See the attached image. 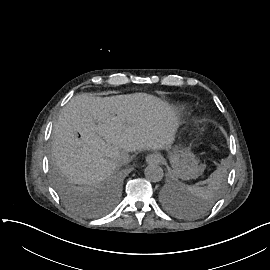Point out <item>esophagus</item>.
<instances>
[{
  "label": "esophagus",
  "instance_id": "34e87169",
  "mask_svg": "<svg viewBox=\"0 0 270 270\" xmlns=\"http://www.w3.org/2000/svg\"><path fill=\"white\" fill-rule=\"evenodd\" d=\"M161 161L159 154L152 153L146 156V162L148 164H158Z\"/></svg>",
  "mask_w": 270,
  "mask_h": 270
}]
</instances>
